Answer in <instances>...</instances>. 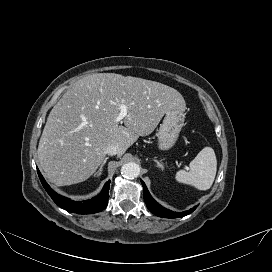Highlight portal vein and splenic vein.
<instances>
[{"mask_svg": "<svg viewBox=\"0 0 272 272\" xmlns=\"http://www.w3.org/2000/svg\"><path fill=\"white\" fill-rule=\"evenodd\" d=\"M118 107L120 109V113L118 114V116L115 119L116 123L120 122L122 119H124L127 116V108H128L127 105L122 104V103L118 104Z\"/></svg>", "mask_w": 272, "mask_h": 272, "instance_id": "1", "label": "portal vein and splenic vein"}]
</instances>
